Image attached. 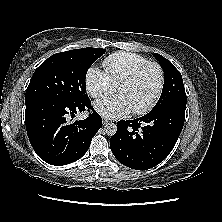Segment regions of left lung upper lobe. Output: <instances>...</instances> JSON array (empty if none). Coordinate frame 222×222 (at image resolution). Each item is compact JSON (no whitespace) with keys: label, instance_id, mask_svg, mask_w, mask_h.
<instances>
[{"label":"left lung upper lobe","instance_id":"5c2ea615","mask_svg":"<svg viewBox=\"0 0 222 222\" xmlns=\"http://www.w3.org/2000/svg\"><path fill=\"white\" fill-rule=\"evenodd\" d=\"M154 56L164 70L163 90L160 99L154 108L173 101L187 102L183 79L180 72L169 60L160 54L155 53Z\"/></svg>","mask_w":222,"mask_h":222}]
</instances>
